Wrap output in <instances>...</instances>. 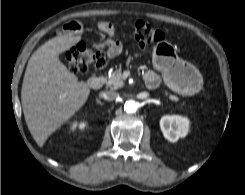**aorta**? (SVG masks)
I'll use <instances>...</instances> for the list:
<instances>
[{
	"label": "aorta",
	"mask_w": 245,
	"mask_h": 195,
	"mask_svg": "<svg viewBox=\"0 0 245 195\" xmlns=\"http://www.w3.org/2000/svg\"><path fill=\"white\" fill-rule=\"evenodd\" d=\"M137 108H138V105L133 100L126 101V103L124 104V110L127 113H135Z\"/></svg>",
	"instance_id": "aorta-1"
}]
</instances>
